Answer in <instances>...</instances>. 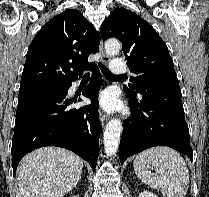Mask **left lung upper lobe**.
<instances>
[{"label": "left lung upper lobe", "mask_w": 209, "mask_h": 197, "mask_svg": "<svg viewBox=\"0 0 209 197\" xmlns=\"http://www.w3.org/2000/svg\"><path fill=\"white\" fill-rule=\"evenodd\" d=\"M101 36L104 39L116 37L122 42V49L131 72V84L123 89L138 93L140 89L179 88L173 60L160 36L140 16L120 8L115 9L103 22Z\"/></svg>", "instance_id": "5c2ea615"}]
</instances>
